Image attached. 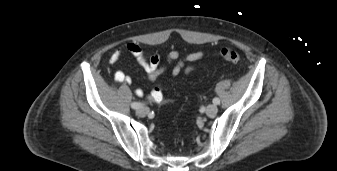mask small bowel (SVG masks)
Instances as JSON below:
<instances>
[{"label": "small bowel", "instance_id": "c3829d8e", "mask_svg": "<svg viewBox=\"0 0 337 171\" xmlns=\"http://www.w3.org/2000/svg\"><path fill=\"white\" fill-rule=\"evenodd\" d=\"M129 54L133 56L140 66L145 70L148 80L156 83L155 87L151 90L149 94V99L153 102H161L165 100L162 87L157 83L158 78L164 74L168 66H172L171 77L175 78L180 73L190 74L195 70V67L190 65V63L196 62L202 59L206 52L203 49L194 51L184 56L180 57V53L177 50L170 51L166 56V65H161V57L159 53L154 52L147 56L144 50L136 43L130 42L120 48L116 49L109 58L110 64L117 63L124 55ZM114 80L120 84H130L131 77L127 75L123 70H116L114 72ZM135 94L139 97L144 95V90L142 88H136Z\"/></svg>", "mask_w": 337, "mask_h": 171}]
</instances>
